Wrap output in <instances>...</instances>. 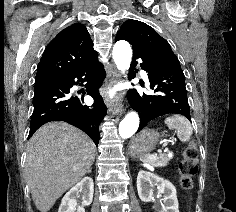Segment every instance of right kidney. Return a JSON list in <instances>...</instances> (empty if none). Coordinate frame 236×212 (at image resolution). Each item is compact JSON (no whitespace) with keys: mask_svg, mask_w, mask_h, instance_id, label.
Here are the masks:
<instances>
[{"mask_svg":"<svg viewBox=\"0 0 236 212\" xmlns=\"http://www.w3.org/2000/svg\"><path fill=\"white\" fill-rule=\"evenodd\" d=\"M93 193V179L91 177H84L65 194L58 212H85V206L92 203ZM80 196H82L81 206H77V199Z\"/></svg>","mask_w":236,"mask_h":212,"instance_id":"ca27d5eb","label":"right kidney"}]
</instances>
